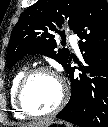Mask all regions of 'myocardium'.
I'll return each mask as SVG.
<instances>
[{
	"label": "myocardium",
	"instance_id": "f54148a6",
	"mask_svg": "<svg viewBox=\"0 0 108 127\" xmlns=\"http://www.w3.org/2000/svg\"><path fill=\"white\" fill-rule=\"evenodd\" d=\"M40 73H47V74L53 75L54 77H56L58 79L60 86H61V95H60V99H59L58 103L56 104V106L53 109H51L50 111L45 112V113L33 112L26 106V103H25L26 89H27L30 81L33 79V77L40 74ZM67 99H68V87H67L65 81L55 71H53L51 68L46 67V66H39V67H35V68L28 70L24 74L22 79L20 80L19 85L17 87V91H16V105H17L18 109L25 116L33 117V118L47 117V116H51V115L58 113L66 104Z\"/></svg>",
	"mask_w": 108,
	"mask_h": 127
}]
</instances>
